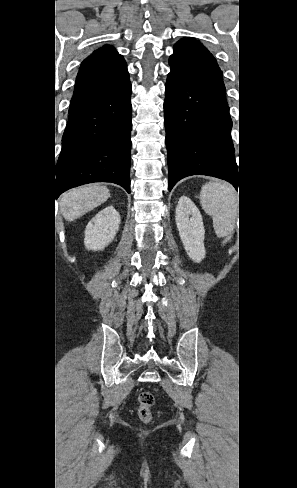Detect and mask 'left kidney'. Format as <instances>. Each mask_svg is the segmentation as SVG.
I'll list each match as a JSON object with an SVG mask.
<instances>
[{"label":"left kidney","mask_w":297,"mask_h":488,"mask_svg":"<svg viewBox=\"0 0 297 488\" xmlns=\"http://www.w3.org/2000/svg\"><path fill=\"white\" fill-rule=\"evenodd\" d=\"M175 219L187 254L193 261L201 262L205 257V230L200 211L188 197L182 196L179 199Z\"/></svg>","instance_id":"1"}]
</instances>
